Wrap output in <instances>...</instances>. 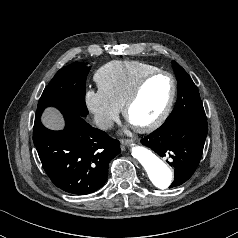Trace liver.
Masks as SVG:
<instances>
[{"label": "liver", "mask_w": 238, "mask_h": 238, "mask_svg": "<svg viewBox=\"0 0 238 238\" xmlns=\"http://www.w3.org/2000/svg\"><path fill=\"white\" fill-rule=\"evenodd\" d=\"M43 124L53 130H59L64 126L62 115L54 108H48L42 116Z\"/></svg>", "instance_id": "1"}]
</instances>
